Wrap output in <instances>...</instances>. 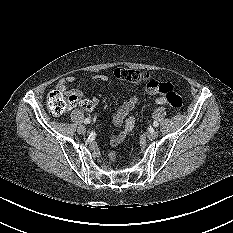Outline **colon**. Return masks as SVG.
<instances>
[{
	"label": "colon",
	"mask_w": 233,
	"mask_h": 233,
	"mask_svg": "<svg viewBox=\"0 0 233 233\" xmlns=\"http://www.w3.org/2000/svg\"><path fill=\"white\" fill-rule=\"evenodd\" d=\"M114 75L118 80L134 85L146 83L147 86H156L164 94V99L169 106L177 111L181 110L183 107L182 98L174 92L173 86L170 83L156 81L152 79L147 72L119 68L115 70ZM75 104V97L58 90L51 91L46 100V107L53 115H61ZM112 159H114V157Z\"/></svg>",
	"instance_id": "colon-1"
}]
</instances>
